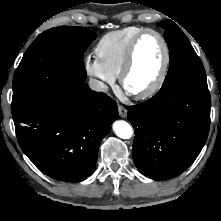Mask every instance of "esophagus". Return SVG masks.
Segmentation results:
<instances>
[{
	"mask_svg": "<svg viewBox=\"0 0 221 221\" xmlns=\"http://www.w3.org/2000/svg\"><path fill=\"white\" fill-rule=\"evenodd\" d=\"M118 111H119V115L122 118H125L127 116V110L125 107H123L122 105H118Z\"/></svg>",
	"mask_w": 221,
	"mask_h": 221,
	"instance_id": "esophagus-1",
	"label": "esophagus"
}]
</instances>
